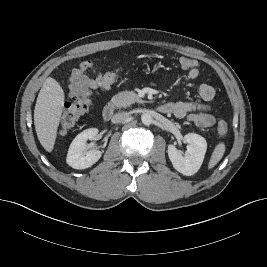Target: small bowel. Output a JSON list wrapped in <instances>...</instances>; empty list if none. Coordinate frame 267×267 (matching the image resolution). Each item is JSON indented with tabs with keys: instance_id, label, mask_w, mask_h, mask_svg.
Wrapping results in <instances>:
<instances>
[{
	"instance_id": "obj_1",
	"label": "small bowel",
	"mask_w": 267,
	"mask_h": 267,
	"mask_svg": "<svg viewBox=\"0 0 267 267\" xmlns=\"http://www.w3.org/2000/svg\"><path fill=\"white\" fill-rule=\"evenodd\" d=\"M200 74L198 68L189 70L184 76V81L196 79ZM101 74L89 60L81 62L71 72L68 80V98L77 93L91 95L98 89V81ZM198 96L202 103L179 101L167 103L171 107L170 113L178 118H186L197 126L211 127L215 123V117L209 113L208 103L214 98L215 90L211 85L201 84L198 88Z\"/></svg>"
}]
</instances>
